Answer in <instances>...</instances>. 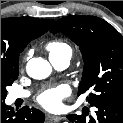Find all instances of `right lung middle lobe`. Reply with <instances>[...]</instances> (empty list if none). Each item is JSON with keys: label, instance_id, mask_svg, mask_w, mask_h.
<instances>
[{"label": "right lung middle lobe", "instance_id": "right-lung-middle-lobe-1", "mask_svg": "<svg viewBox=\"0 0 123 123\" xmlns=\"http://www.w3.org/2000/svg\"><path fill=\"white\" fill-rule=\"evenodd\" d=\"M18 70L19 67L1 70V100H4L7 96L6 87L12 85L18 78Z\"/></svg>", "mask_w": 123, "mask_h": 123}]
</instances>
